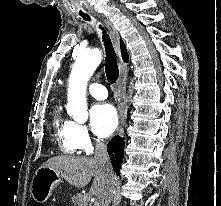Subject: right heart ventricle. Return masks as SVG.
Masks as SVG:
<instances>
[{"instance_id": "obj_1", "label": "right heart ventricle", "mask_w": 221, "mask_h": 206, "mask_svg": "<svg viewBox=\"0 0 221 206\" xmlns=\"http://www.w3.org/2000/svg\"><path fill=\"white\" fill-rule=\"evenodd\" d=\"M75 125V122L63 116L61 108L56 104L52 115L53 136L60 149L68 154H73L78 149Z\"/></svg>"}]
</instances>
